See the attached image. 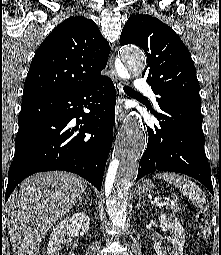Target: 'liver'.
Masks as SVG:
<instances>
[{
    "label": "liver",
    "mask_w": 221,
    "mask_h": 255,
    "mask_svg": "<svg viewBox=\"0 0 221 255\" xmlns=\"http://www.w3.org/2000/svg\"><path fill=\"white\" fill-rule=\"evenodd\" d=\"M86 189L85 179L63 171L36 173L21 182L4 206L14 255H38L47 231Z\"/></svg>",
    "instance_id": "liver-1"
}]
</instances>
